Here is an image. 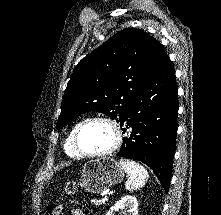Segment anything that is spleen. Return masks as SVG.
<instances>
[{"instance_id":"obj_1","label":"spleen","mask_w":221,"mask_h":215,"mask_svg":"<svg viewBox=\"0 0 221 215\" xmlns=\"http://www.w3.org/2000/svg\"><path fill=\"white\" fill-rule=\"evenodd\" d=\"M119 163L129 176L125 184L127 190H137L146 184L148 180V172L142 165L124 158H121Z\"/></svg>"}]
</instances>
